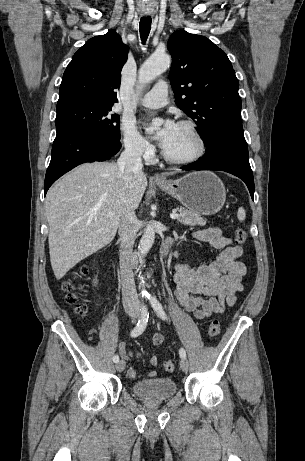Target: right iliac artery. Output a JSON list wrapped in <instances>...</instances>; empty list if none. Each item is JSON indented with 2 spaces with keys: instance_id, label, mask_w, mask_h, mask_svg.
Returning a JSON list of instances; mask_svg holds the SVG:
<instances>
[{
  "instance_id": "82829eb1",
  "label": "right iliac artery",
  "mask_w": 305,
  "mask_h": 461,
  "mask_svg": "<svg viewBox=\"0 0 305 461\" xmlns=\"http://www.w3.org/2000/svg\"><path fill=\"white\" fill-rule=\"evenodd\" d=\"M141 317L140 319L138 320V323L136 324V326L134 327V329L131 331V336L132 337H137L139 336L140 334L143 333V331L146 329V326H147V322H148V318H149V313L147 311V308L146 306L142 303L141 305ZM113 361L115 363L119 362V356L118 355H114L113 356Z\"/></svg>"
}]
</instances>
